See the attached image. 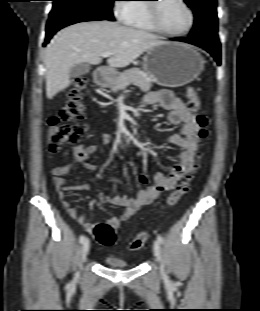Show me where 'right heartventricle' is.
Segmentation results:
<instances>
[{"instance_id":"obj_1","label":"right heart ventricle","mask_w":260,"mask_h":311,"mask_svg":"<svg viewBox=\"0 0 260 311\" xmlns=\"http://www.w3.org/2000/svg\"><path fill=\"white\" fill-rule=\"evenodd\" d=\"M144 1V0H140ZM147 4H132L125 23L137 29L156 31L148 19Z\"/></svg>"}]
</instances>
